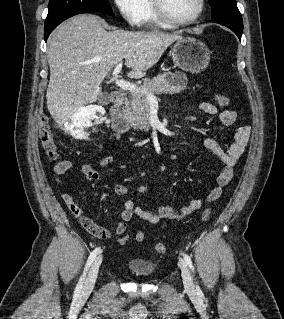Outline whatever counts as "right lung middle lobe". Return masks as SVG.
<instances>
[{"label":"right lung middle lobe","instance_id":"obj_1","mask_svg":"<svg viewBox=\"0 0 284 319\" xmlns=\"http://www.w3.org/2000/svg\"><path fill=\"white\" fill-rule=\"evenodd\" d=\"M93 11L112 13L108 0H49V12L45 26L67 16Z\"/></svg>","mask_w":284,"mask_h":319}]
</instances>
